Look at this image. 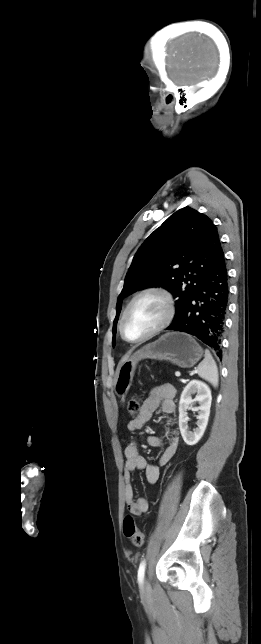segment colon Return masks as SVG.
Returning <instances> with one entry per match:
<instances>
[{
    "label": "colon",
    "instance_id": "5ec220e1",
    "mask_svg": "<svg viewBox=\"0 0 261 644\" xmlns=\"http://www.w3.org/2000/svg\"><path fill=\"white\" fill-rule=\"evenodd\" d=\"M127 410L130 416L137 417L141 410V399L137 396L132 397L128 402ZM123 533L134 546L139 547L144 542L143 533L138 528L134 518L130 515L125 516L123 520Z\"/></svg>",
    "mask_w": 261,
    "mask_h": 644
}]
</instances>
